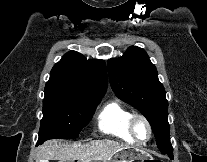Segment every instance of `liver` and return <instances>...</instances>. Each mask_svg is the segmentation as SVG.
I'll list each match as a JSON object with an SVG mask.
<instances>
[{"instance_id": "liver-1", "label": "liver", "mask_w": 207, "mask_h": 162, "mask_svg": "<svg viewBox=\"0 0 207 162\" xmlns=\"http://www.w3.org/2000/svg\"><path fill=\"white\" fill-rule=\"evenodd\" d=\"M125 147H127V144L109 139L95 140L84 144H68L61 139H53L38 147L36 162H48L49 160H59V162H74L75 160L78 162H107L115 153Z\"/></svg>"}]
</instances>
